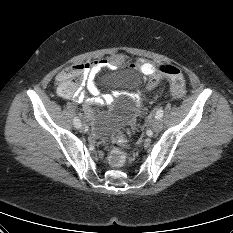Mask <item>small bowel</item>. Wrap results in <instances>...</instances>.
Returning a JSON list of instances; mask_svg holds the SVG:
<instances>
[{"label": "small bowel", "instance_id": "1", "mask_svg": "<svg viewBox=\"0 0 233 233\" xmlns=\"http://www.w3.org/2000/svg\"><path fill=\"white\" fill-rule=\"evenodd\" d=\"M123 61L122 56L115 55L104 60H93L83 65V79L81 86H85L87 92L83 91L79 87L75 92L71 94H63L59 89L60 96L67 99H72L77 103L84 104V113L87 117L92 115L93 105L110 104L112 101L111 95H100L95 85V75L103 69H114L118 67ZM136 67L142 72L143 75L149 77L154 76L157 73L159 66L147 61L146 59H140L136 64ZM141 98V92H140Z\"/></svg>", "mask_w": 233, "mask_h": 233}]
</instances>
